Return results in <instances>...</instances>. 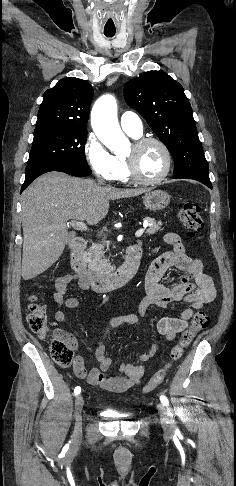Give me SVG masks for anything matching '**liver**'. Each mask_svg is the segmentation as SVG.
<instances>
[{
    "label": "liver",
    "mask_w": 236,
    "mask_h": 486,
    "mask_svg": "<svg viewBox=\"0 0 236 486\" xmlns=\"http://www.w3.org/2000/svg\"><path fill=\"white\" fill-rule=\"evenodd\" d=\"M147 189H116L91 179L50 172L37 178L22 194V278L46 271L76 236L67 220L96 225L108 213L109 200L135 197Z\"/></svg>",
    "instance_id": "6515ba94"
}]
</instances>
